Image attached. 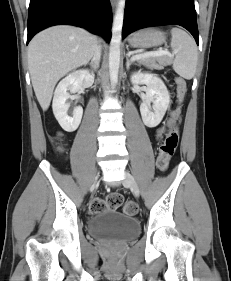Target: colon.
Returning <instances> with one entry per match:
<instances>
[{
  "instance_id": "1",
  "label": "colon",
  "mask_w": 231,
  "mask_h": 281,
  "mask_svg": "<svg viewBox=\"0 0 231 281\" xmlns=\"http://www.w3.org/2000/svg\"><path fill=\"white\" fill-rule=\"evenodd\" d=\"M177 101L181 104L184 101L187 84L186 81L177 77L175 79ZM179 141V132L176 125H173L168 131L163 143L159 147L158 156L156 160V166L160 171H166L169 166V162L174 155ZM123 204V197L119 193H110L102 198H93L89 202V210L91 213H97L104 209H117ZM138 211L136 204L132 201H127L123 205V212L128 215H135Z\"/></svg>"
}]
</instances>
